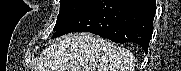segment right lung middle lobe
Segmentation results:
<instances>
[{
  "mask_svg": "<svg viewBox=\"0 0 181 71\" xmlns=\"http://www.w3.org/2000/svg\"><path fill=\"white\" fill-rule=\"evenodd\" d=\"M93 1L94 0H60V11L54 30L57 31L64 26Z\"/></svg>",
  "mask_w": 181,
  "mask_h": 71,
  "instance_id": "right-lung-middle-lobe-1",
  "label": "right lung middle lobe"
}]
</instances>
